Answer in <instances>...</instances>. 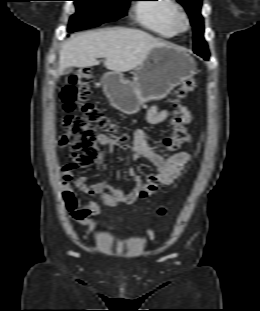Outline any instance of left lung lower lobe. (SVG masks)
Returning a JSON list of instances; mask_svg holds the SVG:
<instances>
[{
    "label": "left lung lower lobe",
    "instance_id": "obj_1",
    "mask_svg": "<svg viewBox=\"0 0 260 311\" xmlns=\"http://www.w3.org/2000/svg\"><path fill=\"white\" fill-rule=\"evenodd\" d=\"M196 54H198L199 56L203 57L205 60H208L209 58V54H205V53H201V52H195Z\"/></svg>",
    "mask_w": 260,
    "mask_h": 311
}]
</instances>
